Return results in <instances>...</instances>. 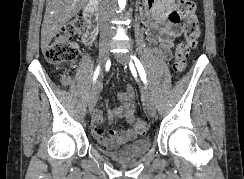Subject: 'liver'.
<instances>
[{
  "label": "liver",
  "mask_w": 244,
  "mask_h": 179,
  "mask_svg": "<svg viewBox=\"0 0 244 179\" xmlns=\"http://www.w3.org/2000/svg\"><path fill=\"white\" fill-rule=\"evenodd\" d=\"M88 0H46V12L41 30V50L45 54L52 38L64 24L76 16Z\"/></svg>",
  "instance_id": "6515ba94"
}]
</instances>
